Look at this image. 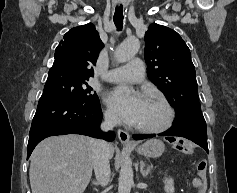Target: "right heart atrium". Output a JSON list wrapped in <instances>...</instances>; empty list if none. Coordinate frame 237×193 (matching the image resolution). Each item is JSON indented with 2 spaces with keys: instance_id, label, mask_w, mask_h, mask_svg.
I'll use <instances>...</instances> for the list:
<instances>
[{
  "instance_id": "obj_1",
  "label": "right heart atrium",
  "mask_w": 237,
  "mask_h": 193,
  "mask_svg": "<svg viewBox=\"0 0 237 193\" xmlns=\"http://www.w3.org/2000/svg\"><path fill=\"white\" fill-rule=\"evenodd\" d=\"M104 118L110 124H116L119 121L118 116L116 115V113L110 108L105 110Z\"/></svg>"
}]
</instances>
